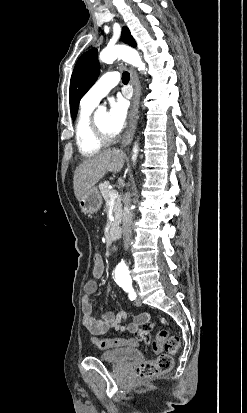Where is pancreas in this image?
<instances>
[{
  "label": "pancreas",
  "instance_id": "1",
  "mask_svg": "<svg viewBox=\"0 0 247 413\" xmlns=\"http://www.w3.org/2000/svg\"><path fill=\"white\" fill-rule=\"evenodd\" d=\"M108 186H110V182L109 180H104V182H100L99 184V190L104 198V200H106V202H109L110 200V194H109V190H111V188H108ZM121 196H118V198H116L115 202H114V213H115V221H113V227H117L118 223H119V211H120V207H121Z\"/></svg>",
  "mask_w": 247,
  "mask_h": 413
}]
</instances>
